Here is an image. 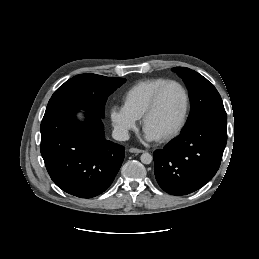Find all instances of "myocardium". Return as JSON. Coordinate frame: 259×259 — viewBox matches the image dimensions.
I'll use <instances>...</instances> for the list:
<instances>
[{
    "label": "myocardium",
    "instance_id": "f54148a6",
    "mask_svg": "<svg viewBox=\"0 0 259 259\" xmlns=\"http://www.w3.org/2000/svg\"><path fill=\"white\" fill-rule=\"evenodd\" d=\"M170 85H177L182 90L184 97H185V106H184V111H183L182 117H181L180 121L178 122V124L169 133L165 134L162 137L157 138V140H159V141H167V140H170V139L174 138L175 136H177L181 132L183 127L185 126L187 119H188L189 111H190L191 98H190V94H189L187 87L180 81L167 80L161 86H159V88L155 91L148 108L146 109V111L143 114V116H142L143 128L146 129V124H147L148 119L155 113V111L157 110V108L159 106V102H160L162 93Z\"/></svg>",
    "mask_w": 259,
    "mask_h": 259
}]
</instances>
